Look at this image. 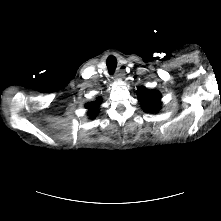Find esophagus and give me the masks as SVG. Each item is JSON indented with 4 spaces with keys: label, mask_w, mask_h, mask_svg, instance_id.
<instances>
[{
    "label": "esophagus",
    "mask_w": 221,
    "mask_h": 221,
    "mask_svg": "<svg viewBox=\"0 0 221 221\" xmlns=\"http://www.w3.org/2000/svg\"><path fill=\"white\" fill-rule=\"evenodd\" d=\"M122 72H123V70L120 69V67H119L115 77H120L122 75Z\"/></svg>",
    "instance_id": "34e87169"
}]
</instances>
